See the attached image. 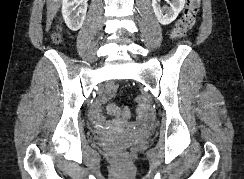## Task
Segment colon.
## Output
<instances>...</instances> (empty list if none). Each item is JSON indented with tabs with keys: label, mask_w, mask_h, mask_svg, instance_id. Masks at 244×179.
Instances as JSON below:
<instances>
[{
	"label": "colon",
	"mask_w": 244,
	"mask_h": 179,
	"mask_svg": "<svg viewBox=\"0 0 244 179\" xmlns=\"http://www.w3.org/2000/svg\"><path fill=\"white\" fill-rule=\"evenodd\" d=\"M199 9V0H190L172 30V36L175 39L183 38L191 31L195 25L196 15L199 12ZM60 33L61 30L59 28L53 36V40L56 43L62 42V35ZM137 102L139 103V105H137V110H151V102H149V98H142L141 95H138ZM107 109H116V111L120 112V114H116V111H105V116H115V119H119L120 123L130 122V107H122L121 104H107ZM118 157L123 158L124 154L119 153Z\"/></svg>",
	"instance_id": "1"
}]
</instances>
